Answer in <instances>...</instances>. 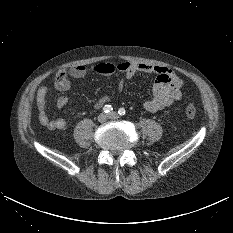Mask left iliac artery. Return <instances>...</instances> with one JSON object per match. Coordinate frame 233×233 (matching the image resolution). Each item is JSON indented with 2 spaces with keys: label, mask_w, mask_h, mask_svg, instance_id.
<instances>
[{
  "label": "left iliac artery",
  "mask_w": 233,
  "mask_h": 233,
  "mask_svg": "<svg viewBox=\"0 0 233 233\" xmlns=\"http://www.w3.org/2000/svg\"><path fill=\"white\" fill-rule=\"evenodd\" d=\"M125 113H126V111H125L124 108H120V109L118 110V114L121 115V116L125 115Z\"/></svg>",
  "instance_id": "1"
}]
</instances>
